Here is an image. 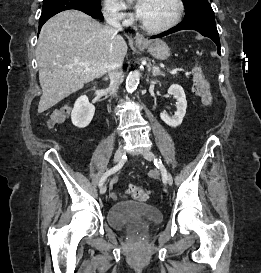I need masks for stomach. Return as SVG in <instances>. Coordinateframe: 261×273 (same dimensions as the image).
Returning <instances> with one entry per match:
<instances>
[{
    "label": "stomach",
    "mask_w": 261,
    "mask_h": 273,
    "mask_svg": "<svg viewBox=\"0 0 261 273\" xmlns=\"http://www.w3.org/2000/svg\"><path fill=\"white\" fill-rule=\"evenodd\" d=\"M136 45L139 48L146 47L148 52L159 60H165L170 56V49L168 45L161 40H156L145 44L137 42Z\"/></svg>",
    "instance_id": "stomach-1"
}]
</instances>
